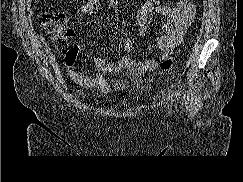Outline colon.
<instances>
[{
	"label": "colon",
	"instance_id": "1",
	"mask_svg": "<svg viewBox=\"0 0 243 182\" xmlns=\"http://www.w3.org/2000/svg\"><path fill=\"white\" fill-rule=\"evenodd\" d=\"M39 21L45 32L51 37L56 48L66 56H70L73 48L69 44L72 32L66 27V15L61 11H43L39 14ZM174 64V58L167 56L161 59L160 68L169 70Z\"/></svg>",
	"mask_w": 243,
	"mask_h": 182
}]
</instances>
